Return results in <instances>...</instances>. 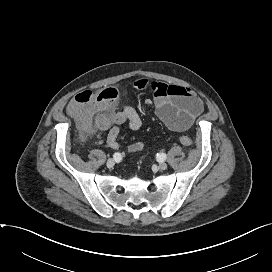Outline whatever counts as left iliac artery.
Returning a JSON list of instances; mask_svg holds the SVG:
<instances>
[{
	"label": "left iliac artery",
	"mask_w": 272,
	"mask_h": 272,
	"mask_svg": "<svg viewBox=\"0 0 272 272\" xmlns=\"http://www.w3.org/2000/svg\"><path fill=\"white\" fill-rule=\"evenodd\" d=\"M157 159L159 161H165L166 160V154L165 153H159V154H157Z\"/></svg>",
	"instance_id": "left-iliac-artery-1"
}]
</instances>
